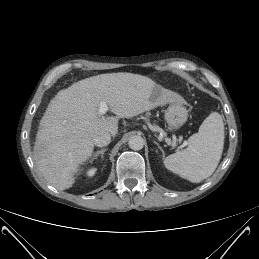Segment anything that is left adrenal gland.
<instances>
[{
  "instance_id": "left-adrenal-gland-1",
  "label": "left adrenal gland",
  "mask_w": 259,
  "mask_h": 259,
  "mask_svg": "<svg viewBox=\"0 0 259 259\" xmlns=\"http://www.w3.org/2000/svg\"><path fill=\"white\" fill-rule=\"evenodd\" d=\"M155 144L158 146V148L160 149V151L162 152V155H163V157H164V156H165V153H164L162 147H161V146L159 145V143H157L156 141H155Z\"/></svg>"
}]
</instances>
